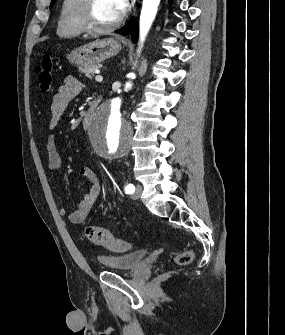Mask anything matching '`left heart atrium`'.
Segmentation results:
<instances>
[{
	"label": "left heart atrium",
	"mask_w": 285,
	"mask_h": 335,
	"mask_svg": "<svg viewBox=\"0 0 285 335\" xmlns=\"http://www.w3.org/2000/svg\"><path fill=\"white\" fill-rule=\"evenodd\" d=\"M117 11L119 17H122L125 12H126V3L125 1H119L118 6H117Z\"/></svg>",
	"instance_id": "left-heart-atrium-1"
}]
</instances>
